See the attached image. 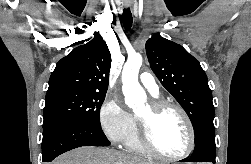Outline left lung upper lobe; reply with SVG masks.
Listing matches in <instances>:
<instances>
[{
	"mask_svg": "<svg viewBox=\"0 0 251 164\" xmlns=\"http://www.w3.org/2000/svg\"><path fill=\"white\" fill-rule=\"evenodd\" d=\"M151 69L184 108L194 128L195 142L215 140L214 106L207 76L200 63L181 45L154 34L146 42Z\"/></svg>",
	"mask_w": 251,
	"mask_h": 164,
	"instance_id": "obj_1",
	"label": "left lung upper lobe"
}]
</instances>
